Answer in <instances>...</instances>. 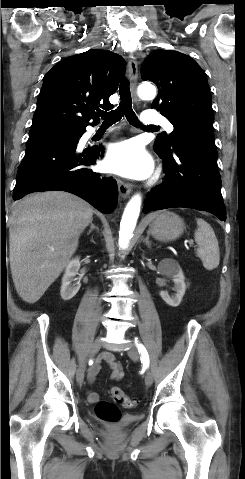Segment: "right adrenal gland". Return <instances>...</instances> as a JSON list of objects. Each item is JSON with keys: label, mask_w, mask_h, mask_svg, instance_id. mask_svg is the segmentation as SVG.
<instances>
[{"label": "right adrenal gland", "mask_w": 245, "mask_h": 479, "mask_svg": "<svg viewBox=\"0 0 245 479\" xmlns=\"http://www.w3.org/2000/svg\"><path fill=\"white\" fill-rule=\"evenodd\" d=\"M93 230H97V231H98L99 229H98V227H96V226L93 224V222H92V220H91V222H90V229H89V231H88L87 234H88V235L91 234V232H92Z\"/></svg>", "instance_id": "right-adrenal-gland-1"}]
</instances>
